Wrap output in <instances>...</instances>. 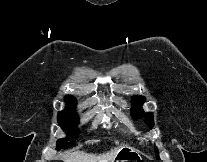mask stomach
<instances>
[{"label":"stomach","instance_id":"obj_1","mask_svg":"<svg viewBox=\"0 0 207 162\" xmlns=\"http://www.w3.org/2000/svg\"><path fill=\"white\" fill-rule=\"evenodd\" d=\"M141 156L132 148L121 147L109 162H143Z\"/></svg>","mask_w":207,"mask_h":162}]
</instances>
